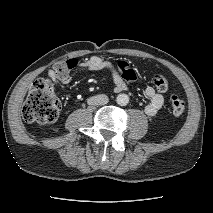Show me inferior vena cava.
<instances>
[{"label":"inferior vena cava","mask_w":213,"mask_h":213,"mask_svg":"<svg viewBox=\"0 0 213 213\" xmlns=\"http://www.w3.org/2000/svg\"><path fill=\"white\" fill-rule=\"evenodd\" d=\"M108 97L105 94L96 95L88 99L89 105H105L108 103Z\"/></svg>","instance_id":"obj_1"}]
</instances>
